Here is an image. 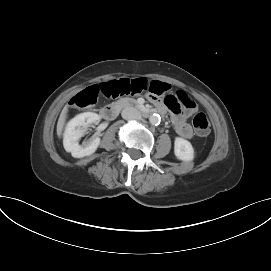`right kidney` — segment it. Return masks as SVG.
Masks as SVG:
<instances>
[{
  "instance_id": "obj_1",
  "label": "right kidney",
  "mask_w": 271,
  "mask_h": 271,
  "mask_svg": "<svg viewBox=\"0 0 271 271\" xmlns=\"http://www.w3.org/2000/svg\"><path fill=\"white\" fill-rule=\"evenodd\" d=\"M100 119L99 115L93 112H84L71 119L64 132L63 145L67 152L75 158H83L93 154L99 144L100 138L93 137L88 144L79 145V139L84 135L85 129Z\"/></svg>"
}]
</instances>
